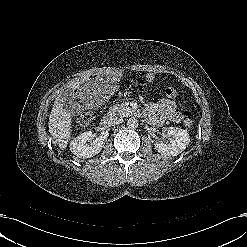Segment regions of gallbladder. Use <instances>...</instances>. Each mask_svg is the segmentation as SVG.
I'll use <instances>...</instances> for the list:
<instances>
[{"mask_svg": "<svg viewBox=\"0 0 247 247\" xmlns=\"http://www.w3.org/2000/svg\"><path fill=\"white\" fill-rule=\"evenodd\" d=\"M73 91L69 88L65 89L62 94L61 98L63 99L64 102V109L69 112L72 115H75L77 112V106L73 104V96H72Z\"/></svg>", "mask_w": 247, "mask_h": 247, "instance_id": "gallbladder-1", "label": "gallbladder"}]
</instances>
